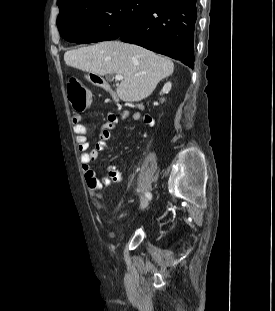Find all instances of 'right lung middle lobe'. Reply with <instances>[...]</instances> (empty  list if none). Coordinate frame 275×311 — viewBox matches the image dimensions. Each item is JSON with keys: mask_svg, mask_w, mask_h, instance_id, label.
Returning <instances> with one entry per match:
<instances>
[{"mask_svg": "<svg viewBox=\"0 0 275 311\" xmlns=\"http://www.w3.org/2000/svg\"><path fill=\"white\" fill-rule=\"evenodd\" d=\"M159 0H70L59 5L57 26L70 42L116 39L139 14Z\"/></svg>", "mask_w": 275, "mask_h": 311, "instance_id": "right-lung-middle-lobe-1", "label": "right lung middle lobe"}]
</instances>
